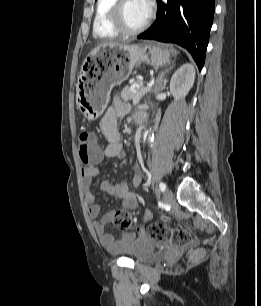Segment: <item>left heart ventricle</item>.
Masks as SVG:
<instances>
[{
    "label": "left heart ventricle",
    "instance_id": "left-heart-ventricle-1",
    "mask_svg": "<svg viewBox=\"0 0 261 306\" xmlns=\"http://www.w3.org/2000/svg\"><path fill=\"white\" fill-rule=\"evenodd\" d=\"M147 16L148 12L140 0H127L124 5V19L129 27L136 28L140 26Z\"/></svg>",
    "mask_w": 261,
    "mask_h": 306
}]
</instances>
